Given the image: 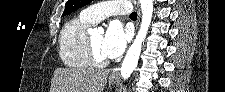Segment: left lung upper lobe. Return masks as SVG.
<instances>
[{"mask_svg":"<svg viewBox=\"0 0 225 92\" xmlns=\"http://www.w3.org/2000/svg\"><path fill=\"white\" fill-rule=\"evenodd\" d=\"M92 0H69L68 4L65 8V11L63 13V16L76 11L77 9L87 5L88 3H90Z\"/></svg>","mask_w":225,"mask_h":92,"instance_id":"left-lung-upper-lobe-1","label":"left lung upper lobe"}]
</instances>
